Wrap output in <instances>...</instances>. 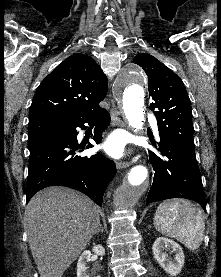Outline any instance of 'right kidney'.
Masks as SVG:
<instances>
[{
	"label": "right kidney",
	"instance_id": "ca27d5eb",
	"mask_svg": "<svg viewBox=\"0 0 221 277\" xmlns=\"http://www.w3.org/2000/svg\"><path fill=\"white\" fill-rule=\"evenodd\" d=\"M92 251L97 256H103L105 254V249L101 245H95ZM91 255V252L89 250H86L79 257L77 263V277H89V275L87 274L86 264L91 260Z\"/></svg>",
	"mask_w": 221,
	"mask_h": 277
}]
</instances>
